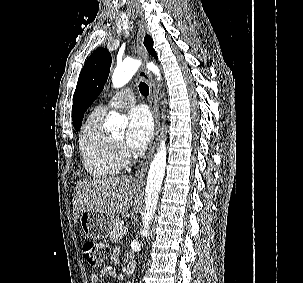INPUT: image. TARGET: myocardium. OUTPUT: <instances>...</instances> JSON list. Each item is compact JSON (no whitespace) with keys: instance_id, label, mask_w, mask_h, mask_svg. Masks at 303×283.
I'll list each match as a JSON object with an SVG mask.
<instances>
[{"instance_id":"1","label":"myocardium","mask_w":303,"mask_h":283,"mask_svg":"<svg viewBox=\"0 0 303 283\" xmlns=\"http://www.w3.org/2000/svg\"><path fill=\"white\" fill-rule=\"evenodd\" d=\"M122 164H128L130 161L129 154L124 148L122 141L112 138Z\"/></svg>"}]
</instances>
